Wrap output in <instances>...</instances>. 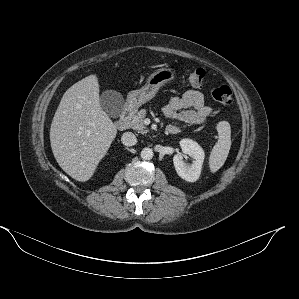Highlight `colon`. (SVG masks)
I'll use <instances>...</instances> for the list:
<instances>
[{
	"label": "colon",
	"instance_id": "obj_1",
	"mask_svg": "<svg viewBox=\"0 0 299 299\" xmlns=\"http://www.w3.org/2000/svg\"><path fill=\"white\" fill-rule=\"evenodd\" d=\"M187 81L190 85L199 87L202 85L205 78V71L202 68H197L187 73ZM213 98L223 105H231L233 102V93L229 86L223 85L215 88L212 91Z\"/></svg>",
	"mask_w": 299,
	"mask_h": 299
}]
</instances>
